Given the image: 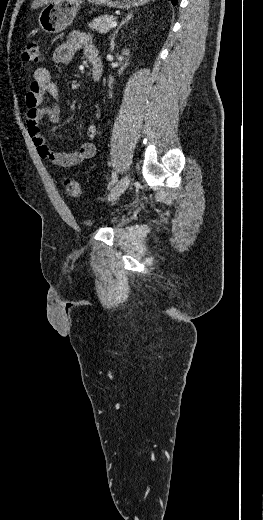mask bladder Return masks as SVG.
<instances>
[{
  "label": "bladder",
  "instance_id": "31cf9c89",
  "mask_svg": "<svg viewBox=\"0 0 263 520\" xmlns=\"http://www.w3.org/2000/svg\"><path fill=\"white\" fill-rule=\"evenodd\" d=\"M85 223H86L87 225H89V226H94V225L96 224V222H95L94 220H92V219H88V220H86Z\"/></svg>",
  "mask_w": 263,
  "mask_h": 520
}]
</instances>
